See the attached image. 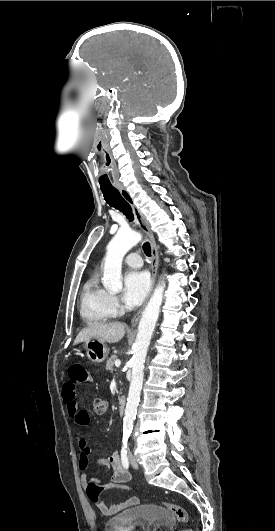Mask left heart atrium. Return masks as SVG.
I'll return each mask as SVG.
<instances>
[{
  "label": "left heart atrium",
  "instance_id": "left-heart-atrium-1",
  "mask_svg": "<svg viewBox=\"0 0 275 531\" xmlns=\"http://www.w3.org/2000/svg\"><path fill=\"white\" fill-rule=\"evenodd\" d=\"M150 288V276L146 270L134 268L124 275L123 297L130 306H138Z\"/></svg>",
  "mask_w": 275,
  "mask_h": 531
}]
</instances>
